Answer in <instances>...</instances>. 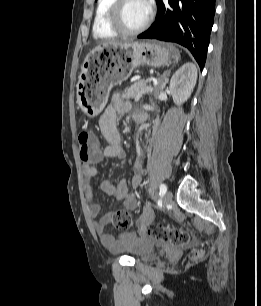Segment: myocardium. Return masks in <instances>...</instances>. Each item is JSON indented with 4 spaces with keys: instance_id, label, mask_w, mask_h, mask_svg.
Returning a JSON list of instances; mask_svg holds the SVG:
<instances>
[{
    "instance_id": "obj_1",
    "label": "myocardium",
    "mask_w": 261,
    "mask_h": 306,
    "mask_svg": "<svg viewBox=\"0 0 261 306\" xmlns=\"http://www.w3.org/2000/svg\"><path fill=\"white\" fill-rule=\"evenodd\" d=\"M127 0H114L108 12V22L110 26L123 36H134L142 33L148 28L153 16V10L150 6L145 21L137 28H128L122 18L124 4Z\"/></svg>"
}]
</instances>
